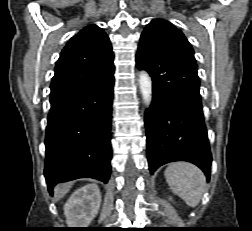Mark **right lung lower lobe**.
<instances>
[{"instance_id":"right-lung-lower-lobe-1","label":"right lung lower lobe","mask_w":252,"mask_h":231,"mask_svg":"<svg viewBox=\"0 0 252 231\" xmlns=\"http://www.w3.org/2000/svg\"><path fill=\"white\" fill-rule=\"evenodd\" d=\"M113 86L111 74L51 102L44 169L50 194L57 183L77 178L108 182Z\"/></svg>"}]
</instances>
